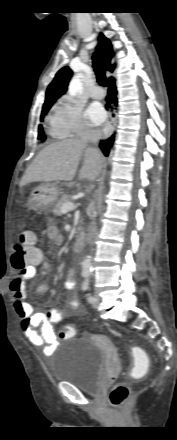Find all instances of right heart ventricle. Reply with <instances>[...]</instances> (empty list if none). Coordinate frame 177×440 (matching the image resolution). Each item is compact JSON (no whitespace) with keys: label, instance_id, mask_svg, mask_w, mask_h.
Masks as SVG:
<instances>
[{"label":"right heart ventricle","instance_id":"right-heart-ventricle-1","mask_svg":"<svg viewBox=\"0 0 177 440\" xmlns=\"http://www.w3.org/2000/svg\"><path fill=\"white\" fill-rule=\"evenodd\" d=\"M49 122H50V128H49L50 135L53 137L61 138V135L59 134L52 117L49 118Z\"/></svg>","mask_w":177,"mask_h":440}]
</instances>
